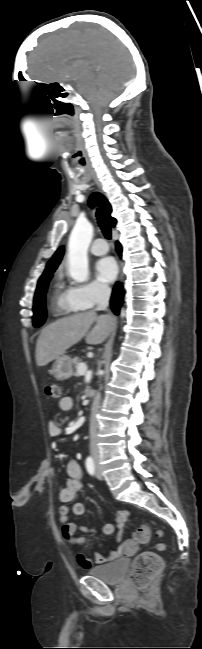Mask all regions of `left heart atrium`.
Returning <instances> with one entry per match:
<instances>
[{
  "instance_id": "1",
  "label": "left heart atrium",
  "mask_w": 202,
  "mask_h": 649,
  "mask_svg": "<svg viewBox=\"0 0 202 649\" xmlns=\"http://www.w3.org/2000/svg\"><path fill=\"white\" fill-rule=\"evenodd\" d=\"M96 276L101 282H111L117 274V265L113 258L100 259L95 266Z\"/></svg>"
}]
</instances>
